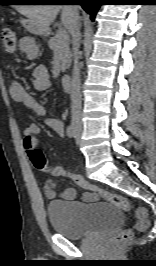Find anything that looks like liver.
<instances>
[{"label": "liver", "mask_w": 156, "mask_h": 266, "mask_svg": "<svg viewBox=\"0 0 156 266\" xmlns=\"http://www.w3.org/2000/svg\"><path fill=\"white\" fill-rule=\"evenodd\" d=\"M17 10L36 25L47 29L56 19L60 10L61 22L70 31L73 13L71 5H21Z\"/></svg>", "instance_id": "obj_1"}]
</instances>
